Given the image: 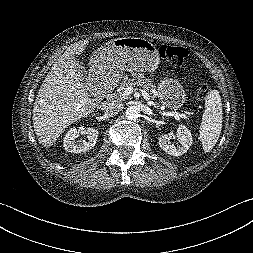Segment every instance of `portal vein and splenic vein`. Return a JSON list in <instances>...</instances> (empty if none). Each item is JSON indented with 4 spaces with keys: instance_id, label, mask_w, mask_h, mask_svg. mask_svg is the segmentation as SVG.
<instances>
[{
    "instance_id": "18ae733b",
    "label": "portal vein and splenic vein",
    "mask_w": 253,
    "mask_h": 253,
    "mask_svg": "<svg viewBox=\"0 0 253 253\" xmlns=\"http://www.w3.org/2000/svg\"><path fill=\"white\" fill-rule=\"evenodd\" d=\"M136 90H139L141 92L142 96L144 97V99H146L148 101V103L150 105H152V102L150 101V95L142 89H137V88H134L132 86H129V87L125 88L124 95H127V96L131 95ZM173 115H174V118L177 119V120H179L180 118H184V119L188 118V116L186 114L175 113Z\"/></svg>"
}]
</instances>
